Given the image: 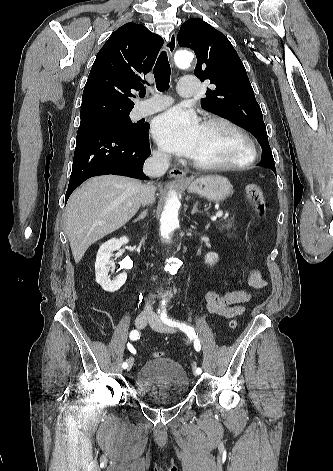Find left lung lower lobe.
I'll list each match as a JSON object with an SVG mask.
<instances>
[{
    "instance_id": "left-lung-lower-lobe-1",
    "label": "left lung lower lobe",
    "mask_w": 333,
    "mask_h": 471,
    "mask_svg": "<svg viewBox=\"0 0 333 471\" xmlns=\"http://www.w3.org/2000/svg\"><path fill=\"white\" fill-rule=\"evenodd\" d=\"M258 165H260V166L268 165V166H270V167L272 168L271 170H273V171L275 172V174H276L275 164L273 165V164H268V163H266V162L260 161V162L258 163Z\"/></svg>"
}]
</instances>
